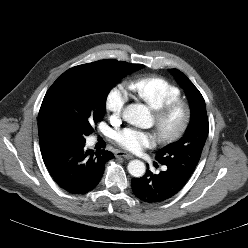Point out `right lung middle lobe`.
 Returning a JSON list of instances; mask_svg holds the SVG:
<instances>
[{
  "mask_svg": "<svg viewBox=\"0 0 248 248\" xmlns=\"http://www.w3.org/2000/svg\"><path fill=\"white\" fill-rule=\"evenodd\" d=\"M143 67L108 59L70 68L47 91L38 124L70 143H85L92 125L104 117L111 87Z\"/></svg>",
  "mask_w": 248,
  "mask_h": 248,
  "instance_id": "obj_1",
  "label": "right lung middle lobe"
}]
</instances>
